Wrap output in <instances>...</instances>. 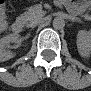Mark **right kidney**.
I'll return each mask as SVG.
<instances>
[{"label": "right kidney", "instance_id": "obj_1", "mask_svg": "<svg viewBox=\"0 0 91 91\" xmlns=\"http://www.w3.org/2000/svg\"><path fill=\"white\" fill-rule=\"evenodd\" d=\"M18 43L19 35L10 34L0 39V60L7 61L10 58L14 57V54L9 50V43ZM18 47V45L16 46Z\"/></svg>", "mask_w": 91, "mask_h": 91}]
</instances>
